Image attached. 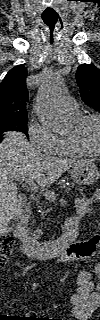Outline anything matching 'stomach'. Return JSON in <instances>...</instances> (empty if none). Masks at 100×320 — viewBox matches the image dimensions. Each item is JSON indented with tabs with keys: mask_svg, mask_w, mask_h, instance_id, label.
<instances>
[{
	"mask_svg": "<svg viewBox=\"0 0 100 320\" xmlns=\"http://www.w3.org/2000/svg\"><path fill=\"white\" fill-rule=\"evenodd\" d=\"M71 179L79 185H91L100 177L97 165L92 160H83L72 167Z\"/></svg>",
	"mask_w": 100,
	"mask_h": 320,
	"instance_id": "1",
	"label": "stomach"
}]
</instances>
